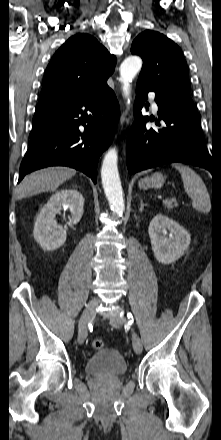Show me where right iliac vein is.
I'll return each mask as SVG.
<instances>
[{
  "label": "right iliac vein",
  "instance_id": "1",
  "mask_svg": "<svg viewBox=\"0 0 221 440\" xmlns=\"http://www.w3.org/2000/svg\"><path fill=\"white\" fill-rule=\"evenodd\" d=\"M98 305V300L93 298L86 309L84 310L79 323L78 330V343L83 344L87 337V325L89 321L95 316L96 306Z\"/></svg>",
  "mask_w": 221,
  "mask_h": 440
}]
</instances>
